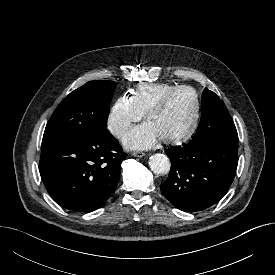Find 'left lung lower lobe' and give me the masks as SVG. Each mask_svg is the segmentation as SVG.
Returning <instances> with one entry per match:
<instances>
[{
  "label": "left lung lower lobe",
  "mask_w": 275,
  "mask_h": 275,
  "mask_svg": "<svg viewBox=\"0 0 275 275\" xmlns=\"http://www.w3.org/2000/svg\"><path fill=\"white\" fill-rule=\"evenodd\" d=\"M171 160L161 192L178 209L196 212L219 202L230 188L238 165V144L198 143L166 150Z\"/></svg>",
  "instance_id": "left-lung-lower-lobe-1"
}]
</instances>
